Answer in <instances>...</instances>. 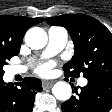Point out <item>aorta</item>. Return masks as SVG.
<instances>
[{"label": "aorta", "mask_w": 112, "mask_h": 112, "mask_svg": "<svg viewBox=\"0 0 112 112\" xmlns=\"http://www.w3.org/2000/svg\"><path fill=\"white\" fill-rule=\"evenodd\" d=\"M47 40V33L40 27L30 28L25 34L26 44L35 50L44 48L47 44ZM52 93L56 99L60 101H67L71 97L72 88L69 83L65 81H59L54 84Z\"/></svg>", "instance_id": "762f6f07"}]
</instances>
